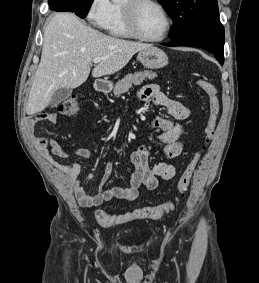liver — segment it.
<instances>
[{
    "instance_id": "1",
    "label": "liver",
    "mask_w": 259,
    "mask_h": 283,
    "mask_svg": "<svg viewBox=\"0 0 259 283\" xmlns=\"http://www.w3.org/2000/svg\"><path fill=\"white\" fill-rule=\"evenodd\" d=\"M41 60L31 87L26 113L42 112L60 88L82 85L94 58L97 78L119 72L135 53L149 45L105 35L85 25L72 13H56L44 28Z\"/></svg>"
}]
</instances>
